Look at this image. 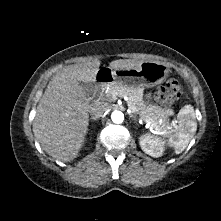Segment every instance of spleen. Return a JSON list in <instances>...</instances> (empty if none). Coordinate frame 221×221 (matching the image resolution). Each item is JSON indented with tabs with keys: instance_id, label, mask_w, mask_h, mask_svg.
<instances>
[{
	"instance_id": "1",
	"label": "spleen",
	"mask_w": 221,
	"mask_h": 221,
	"mask_svg": "<svg viewBox=\"0 0 221 221\" xmlns=\"http://www.w3.org/2000/svg\"><path fill=\"white\" fill-rule=\"evenodd\" d=\"M179 124L174 130L173 134L169 135L168 145L173 147L176 153H181L188 146L190 140L193 138L196 130V116L194 109L191 105L184 106L178 113ZM147 137L153 140H160L153 135H147ZM161 141V140H160Z\"/></svg>"
}]
</instances>
